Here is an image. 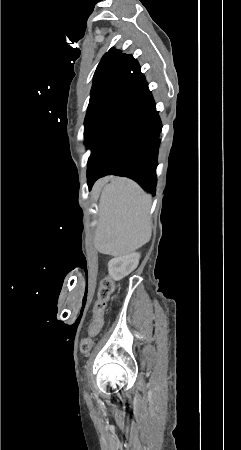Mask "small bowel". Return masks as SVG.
Here are the masks:
<instances>
[{"mask_svg": "<svg viewBox=\"0 0 241 450\" xmlns=\"http://www.w3.org/2000/svg\"><path fill=\"white\" fill-rule=\"evenodd\" d=\"M89 331H94L96 334H98L101 330H89Z\"/></svg>", "mask_w": 241, "mask_h": 450, "instance_id": "small-bowel-1", "label": "small bowel"}]
</instances>
